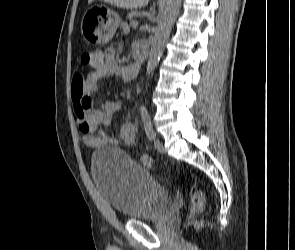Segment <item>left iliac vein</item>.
Returning <instances> with one entry per match:
<instances>
[{"instance_id":"1","label":"left iliac vein","mask_w":295,"mask_h":250,"mask_svg":"<svg viewBox=\"0 0 295 250\" xmlns=\"http://www.w3.org/2000/svg\"><path fill=\"white\" fill-rule=\"evenodd\" d=\"M154 147L159 153H164L165 149L163 147L162 142L154 136Z\"/></svg>"}]
</instances>
